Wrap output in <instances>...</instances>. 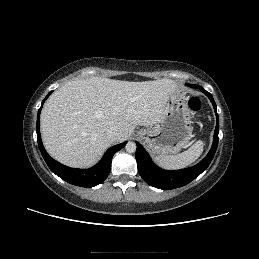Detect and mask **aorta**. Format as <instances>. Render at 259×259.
Returning <instances> with one entry per match:
<instances>
[{"mask_svg": "<svg viewBox=\"0 0 259 259\" xmlns=\"http://www.w3.org/2000/svg\"><path fill=\"white\" fill-rule=\"evenodd\" d=\"M125 148H126V151L128 152V153H134L135 151H136V143H134V142H128L127 144H126V146H125Z\"/></svg>", "mask_w": 259, "mask_h": 259, "instance_id": "1", "label": "aorta"}]
</instances>
